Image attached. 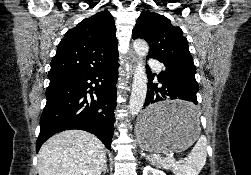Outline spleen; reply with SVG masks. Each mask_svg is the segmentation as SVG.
<instances>
[{"instance_id": "1", "label": "spleen", "mask_w": 251, "mask_h": 175, "mask_svg": "<svg viewBox=\"0 0 251 175\" xmlns=\"http://www.w3.org/2000/svg\"><path fill=\"white\" fill-rule=\"evenodd\" d=\"M187 117H197L196 111L188 113ZM207 159V137L200 135L196 141L189 159L185 161H168L169 167L174 171L175 175H198Z\"/></svg>"}]
</instances>
